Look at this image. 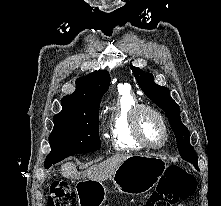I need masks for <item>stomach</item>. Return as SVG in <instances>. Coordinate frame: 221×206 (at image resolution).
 <instances>
[{
	"mask_svg": "<svg viewBox=\"0 0 221 206\" xmlns=\"http://www.w3.org/2000/svg\"><path fill=\"white\" fill-rule=\"evenodd\" d=\"M167 168L160 157L131 155L124 160L111 177L115 188L131 195L144 194L160 180ZM79 206H101L106 198V187L100 181L84 179L77 184Z\"/></svg>",
	"mask_w": 221,
	"mask_h": 206,
	"instance_id": "0dacf381",
	"label": "stomach"
}]
</instances>
